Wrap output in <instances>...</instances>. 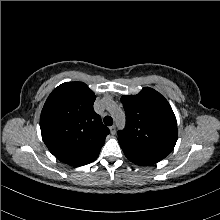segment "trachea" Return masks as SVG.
Returning <instances> with one entry per match:
<instances>
[{
  "label": "trachea",
  "instance_id": "obj_1",
  "mask_svg": "<svg viewBox=\"0 0 220 220\" xmlns=\"http://www.w3.org/2000/svg\"><path fill=\"white\" fill-rule=\"evenodd\" d=\"M104 124L107 126H111L113 124V119L110 116L104 117Z\"/></svg>",
  "mask_w": 220,
  "mask_h": 220
}]
</instances>
